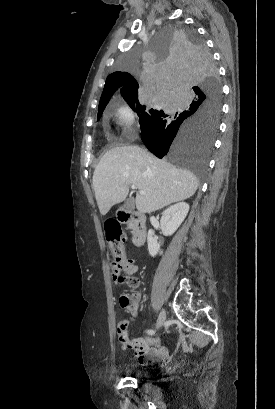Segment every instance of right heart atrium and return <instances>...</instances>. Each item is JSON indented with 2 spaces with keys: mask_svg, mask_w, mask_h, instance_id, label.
<instances>
[{
  "mask_svg": "<svg viewBox=\"0 0 275 409\" xmlns=\"http://www.w3.org/2000/svg\"><path fill=\"white\" fill-rule=\"evenodd\" d=\"M117 124L122 131V139L119 143H131L135 135L136 113L128 105L121 106L116 113Z\"/></svg>",
  "mask_w": 275,
  "mask_h": 409,
  "instance_id": "obj_1",
  "label": "right heart atrium"
}]
</instances>
